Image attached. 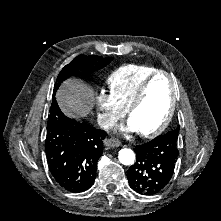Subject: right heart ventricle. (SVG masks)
I'll use <instances>...</instances> for the list:
<instances>
[{
    "label": "right heart ventricle",
    "mask_w": 221,
    "mask_h": 221,
    "mask_svg": "<svg viewBox=\"0 0 221 221\" xmlns=\"http://www.w3.org/2000/svg\"><path fill=\"white\" fill-rule=\"evenodd\" d=\"M156 71L157 68L149 65L127 64L115 69L106 82L110 93L123 109L133 99L140 85Z\"/></svg>",
    "instance_id": "obj_1"
}]
</instances>
